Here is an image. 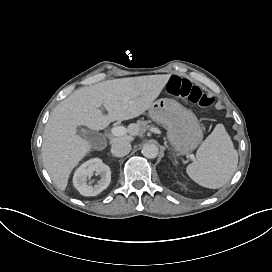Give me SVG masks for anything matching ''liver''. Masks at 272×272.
I'll return each instance as SVG.
<instances>
[{"label":"liver","instance_id":"1","mask_svg":"<svg viewBox=\"0 0 272 272\" xmlns=\"http://www.w3.org/2000/svg\"><path fill=\"white\" fill-rule=\"evenodd\" d=\"M170 74L146 75L103 81L82 87L62 100L50 114L43 133L42 159L52 181L65 191L72 170L93 151L92 143L79 134L78 128L102 130L111 121H127L143 115L159 97ZM104 105L109 116L99 108ZM141 126L131 123L127 134L112 137L117 141L133 142Z\"/></svg>","mask_w":272,"mask_h":272}]
</instances>
